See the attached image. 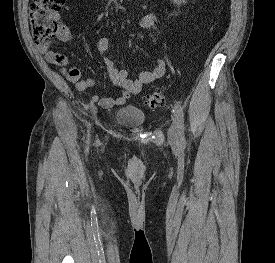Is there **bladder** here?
Listing matches in <instances>:
<instances>
[{
	"label": "bladder",
	"mask_w": 275,
	"mask_h": 263,
	"mask_svg": "<svg viewBox=\"0 0 275 263\" xmlns=\"http://www.w3.org/2000/svg\"><path fill=\"white\" fill-rule=\"evenodd\" d=\"M118 123L127 127H139L145 122L146 116L143 111L133 105H124L115 114Z\"/></svg>",
	"instance_id": "bladder-1"
}]
</instances>
